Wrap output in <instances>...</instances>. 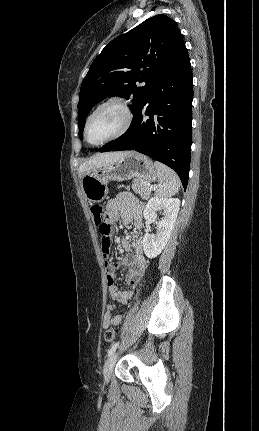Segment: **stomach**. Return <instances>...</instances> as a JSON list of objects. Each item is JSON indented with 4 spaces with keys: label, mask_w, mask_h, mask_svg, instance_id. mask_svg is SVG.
Segmentation results:
<instances>
[{
    "label": "stomach",
    "mask_w": 259,
    "mask_h": 431,
    "mask_svg": "<svg viewBox=\"0 0 259 431\" xmlns=\"http://www.w3.org/2000/svg\"><path fill=\"white\" fill-rule=\"evenodd\" d=\"M158 174L150 158L135 151L128 152L114 163L86 171L81 186L89 202H101L108 194L109 181L136 178L144 182L155 181Z\"/></svg>",
    "instance_id": "1"
}]
</instances>
